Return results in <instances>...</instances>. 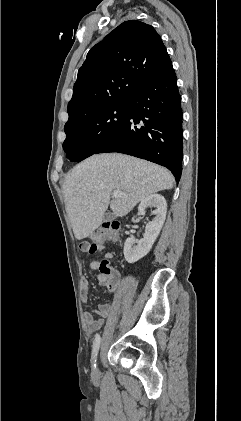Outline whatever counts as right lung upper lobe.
I'll list each match as a JSON object with an SVG mask.
<instances>
[{
	"label": "right lung upper lobe",
	"mask_w": 241,
	"mask_h": 421,
	"mask_svg": "<svg viewBox=\"0 0 241 421\" xmlns=\"http://www.w3.org/2000/svg\"><path fill=\"white\" fill-rule=\"evenodd\" d=\"M169 57L148 24L125 21L90 49L78 71L65 127L112 104L127 101Z\"/></svg>",
	"instance_id": "obj_1"
}]
</instances>
